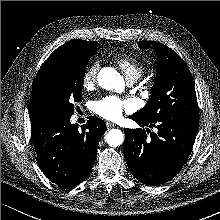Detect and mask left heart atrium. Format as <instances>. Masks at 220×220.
I'll use <instances>...</instances> for the list:
<instances>
[{
    "label": "left heart atrium",
    "instance_id": "39dd6f15",
    "mask_svg": "<svg viewBox=\"0 0 220 220\" xmlns=\"http://www.w3.org/2000/svg\"><path fill=\"white\" fill-rule=\"evenodd\" d=\"M132 110V102L129 100H122L117 96H107L99 99L93 104V111L99 116L109 119H119L123 112Z\"/></svg>",
    "mask_w": 220,
    "mask_h": 220
}]
</instances>
